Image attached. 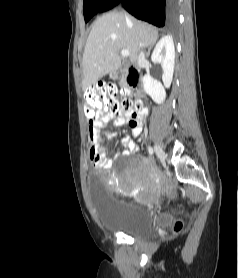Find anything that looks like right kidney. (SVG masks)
<instances>
[{
    "instance_id": "obj_1",
    "label": "right kidney",
    "mask_w": 238,
    "mask_h": 278,
    "mask_svg": "<svg viewBox=\"0 0 238 278\" xmlns=\"http://www.w3.org/2000/svg\"><path fill=\"white\" fill-rule=\"evenodd\" d=\"M153 63H159L163 69L162 83L147 75L143 78L146 93L154 102L160 104L166 98L165 88H169L173 78L175 64V48L171 36H165L156 44L151 56Z\"/></svg>"
}]
</instances>
